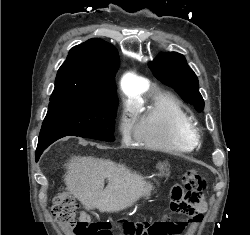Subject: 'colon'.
I'll return each instance as SVG.
<instances>
[{
    "instance_id": "colon-1",
    "label": "colon",
    "mask_w": 250,
    "mask_h": 235,
    "mask_svg": "<svg viewBox=\"0 0 250 235\" xmlns=\"http://www.w3.org/2000/svg\"><path fill=\"white\" fill-rule=\"evenodd\" d=\"M161 175L168 174L164 166H160ZM207 188L205 176L198 170L189 169L182 178V185H177L171 190L173 209L182 211L183 203L198 204L201 194ZM52 213L56 219L65 223L75 235H128L131 230L140 235H164V229L159 221L146 224L145 227H136L131 222H124L120 227L114 228L110 223H88L76 219V205L73 198L66 192H60L54 199Z\"/></svg>"
}]
</instances>
